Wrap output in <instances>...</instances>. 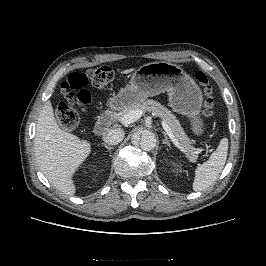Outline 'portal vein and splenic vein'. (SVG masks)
<instances>
[{
    "label": "portal vein and splenic vein",
    "mask_w": 266,
    "mask_h": 266,
    "mask_svg": "<svg viewBox=\"0 0 266 266\" xmlns=\"http://www.w3.org/2000/svg\"><path fill=\"white\" fill-rule=\"evenodd\" d=\"M143 115V112L140 109H136V110H132L130 112H128L126 115L123 116V118L121 119V123L123 125H128L131 123L136 122L141 116ZM162 126L163 129L165 130V132L167 133V135L169 136V138L171 139V141L173 142V144L184 154L187 155L186 150L179 144V142L177 141V139L175 138L171 128L167 125V123L165 121H162Z\"/></svg>",
    "instance_id": "portal-vein-and-splenic-vein-1"
}]
</instances>
